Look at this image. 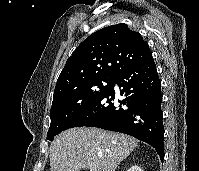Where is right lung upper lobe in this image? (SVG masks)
<instances>
[{
	"label": "right lung upper lobe",
	"instance_id": "right-lung-upper-lobe-1",
	"mask_svg": "<svg viewBox=\"0 0 199 171\" xmlns=\"http://www.w3.org/2000/svg\"><path fill=\"white\" fill-rule=\"evenodd\" d=\"M148 43L124 23L100 29L86 38L60 73L53 101L98 77H117L128 67L151 57Z\"/></svg>",
	"mask_w": 199,
	"mask_h": 171
}]
</instances>
